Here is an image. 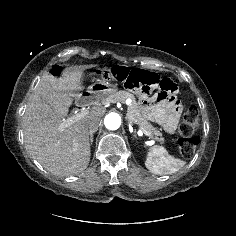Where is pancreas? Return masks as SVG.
Listing matches in <instances>:
<instances>
[{
	"mask_svg": "<svg viewBox=\"0 0 236 236\" xmlns=\"http://www.w3.org/2000/svg\"><path fill=\"white\" fill-rule=\"evenodd\" d=\"M128 98L132 99V103L128 106L127 109V119L131 122H138L142 126V129L149 133L150 138L163 143L164 138L162 137V133L157 128L153 127L152 124L142 116L140 106L137 103L134 95L126 91H118L110 95L108 97V100L124 103Z\"/></svg>",
	"mask_w": 236,
	"mask_h": 236,
	"instance_id": "pancreas-1",
	"label": "pancreas"
}]
</instances>
